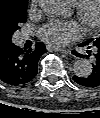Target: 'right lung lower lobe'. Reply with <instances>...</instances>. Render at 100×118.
Masks as SVG:
<instances>
[{
    "mask_svg": "<svg viewBox=\"0 0 100 118\" xmlns=\"http://www.w3.org/2000/svg\"><path fill=\"white\" fill-rule=\"evenodd\" d=\"M46 52L42 43L22 49L13 43L0 46V79L12 86L24 85L37 74V63Z\"/></svg>",
    "mask_w": 100,
    "mask_h": 118,
    "instance_id": "98d812e1",
    "label": "right lung lower lobe"
}]
</instances>
